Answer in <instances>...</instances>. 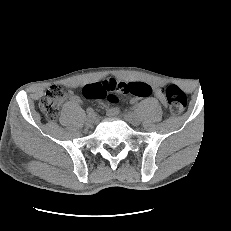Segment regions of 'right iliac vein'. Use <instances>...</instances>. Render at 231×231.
<instances>
[{
  "mask_svg": "<svg viewBox=\"0 0 231 231\" xmlns=\"http://www.w3.org/2000/svg\"><path fill=\"white\" fill-rule=\"evenodd\" d=\"M94 123H96V117L94 115H88L86 118V124L90 126Z\"/></svg>",
  "mask_w": 231,
  "mask_h": 231,
  "instance_id": "right-iliac-vein-1",
  "label": "right iliac vein"
}]
</instances>
